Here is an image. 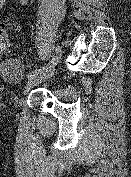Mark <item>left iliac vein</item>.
Wrapping results in <instances>:
<instances>
[{
    "instance_id": "obj_1",
    "label": "left iliac vein",
    "mask_w": 131,
    "mask_h": 177,
    "mask_svg": "<svg viewBox=\"0 0 131 177\" xmlns=\"http://www.w3.org/2000/svg\"><path fill=\"white\" fill-rule=\"evenodd\" d=\"M60 52H61L60 48L56 47V52L52 58V65L48 66L46 71H43L40 74H37V75L31 77L25 86L24 93L28 92L32 87L38 85L42 81L47 80L48 78H50L54 74L55 67H56L58 60L60 58Z\"/></svg>"
}]
</instances>
